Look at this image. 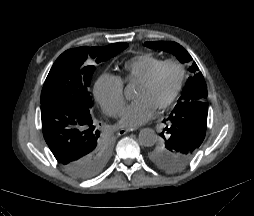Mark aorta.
I'll return each mask as SVG.
<instances>
[{
    "instance_id": "762f6f07",
    "label": "aorta",
    "mask_w": 254,
    "mask_h": 216,
    "mask_svg": "<svg viewBox=\"0 0 254 216\" xmlns=\"http://www.w3.org/2000/svg\"><path fill=\"white\" fill-rule=\"evenodd\" d=\"M157 141V135L151 128H144L139 133V142L145 147L153 146Z\"/></svg>"
}]
</instances>
